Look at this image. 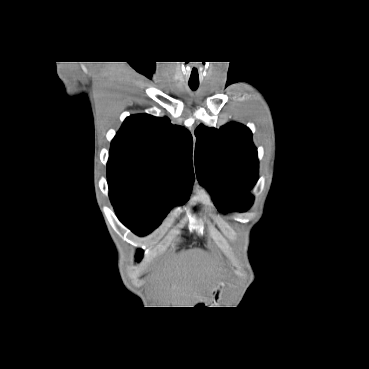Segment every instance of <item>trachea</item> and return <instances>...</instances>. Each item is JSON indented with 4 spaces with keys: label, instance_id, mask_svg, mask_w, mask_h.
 <instances>
[{
    "label": "trachea",
    "instance_id": "obj_1",
    "mask_svg": "<svg viewBox=\"0 0 369 369\" xmlns=\"http://www.w3.org/2000/svg\"><path fill=\"white\" fill-rule=\"evenodd\" d=\"M189 86L192 90H196L198 88L199 84L198 83H189Z\"/></svg>",
    "mask_w": 369,
    "mask_h": 369
}]
</instances>
